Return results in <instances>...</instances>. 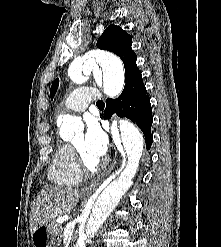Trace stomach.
Listing matches in <instances>:
<instances>
[{
  "mask_svg": "<svg viewBox=\"0 0 221 247\" xmlns=\"http://www.w3.org/2000/svg\"><path fill=\"white\" fill-rule=\"evenodd\" d=\"M33 247H52L54 233L52 223L39 226L31 233Z\"/></svg>",
  "mask_w": 221,
  "mask_h": 247,
  "instance_id": "stomach-1",
  "label": "stomach"
}]
</instances>
